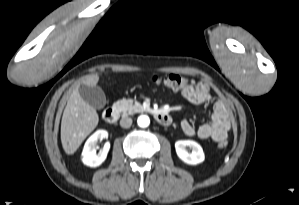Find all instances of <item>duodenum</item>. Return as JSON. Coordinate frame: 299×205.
<instances>
[{
  "instance_id": "1",
  "label": "duodenum",
  "mask_w": 299,
  "mask_h": 205,
  "mask_svg": "<svg viewBox=\"0 0 299 205\" xmlns=\"http://www.w3.org/2000/svg\"><path fill=\"white\" fill-rule=\"evenodd\" d=\"M119 112L114 107H108L103 111V119L107 123H115L118 119ZM155 119L162 125H169L172 122L171 116L164 111H156L154 113Z\"/></svg>"
}]
</instances>
